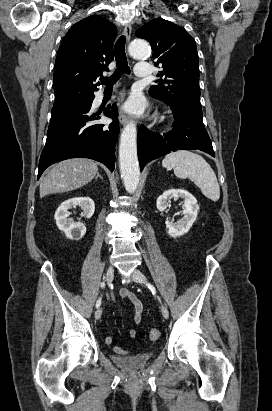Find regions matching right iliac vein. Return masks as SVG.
I'll list each match as a JSON object with an SVG mask.
<instances>
[{
    "label": "right iliac vein",
    "instance_id": "right-iliac-vein-1",
    "mask_svg": "<svg viewBox=\"0 0 272 411\" xmlns=\"http://www.w3.org/2000/svg\"><path fill=\"white\" fill-rule=\"evenodd\" d=\"M105 281L107 282V284H111L114 278V270L112 267H108L105 273ZM102 315V309L98 308L95 312V319L99 320L101 318Z\"/></svg>",
    "mask_w": 272,
    "mask_h": 411
}]
</instances>
